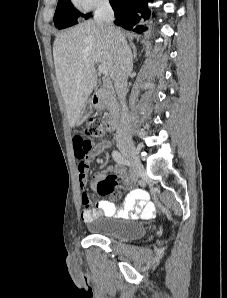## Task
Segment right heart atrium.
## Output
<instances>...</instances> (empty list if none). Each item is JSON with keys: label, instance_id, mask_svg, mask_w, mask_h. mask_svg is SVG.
I'll return each instance as SVG.
<instances>
[{"label": "right heart atrium", "instance_id": "1", "mask_svg": "<svg viewBox=\"0 0 227 298\" xmlns=\"http://www.w3.org/2000/svg\"><path fill=\"white\" fill-rule=\"evenodd\" d=\"M108 0H72L73 5L81 11L88 12L107 3Z\"/></svg>", "mask_w": 227, "mask_h": 298}]
</instances>
